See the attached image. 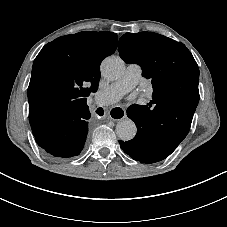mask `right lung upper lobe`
Instances as JSON below:
<instances>
[{
  "instance_id": "right-lung-upper-lobe-1",
  "label": "right lung upper lobe",
  "mask_w": 227,
  "mask_h": 227,
  "mask_svg": "<svg viewBox=\"0 0 227 227\" xmlns=\"http://www.w3.org/2000/svg\"><path fill=\"white\" fill-rule=\"evenodd\" d=\"M116 33L83 31L46 44L36 57L28 87L29 105L62 114L87 105L96 91L101 61L117 48Z\"/></svg>"
}]
</instances>
